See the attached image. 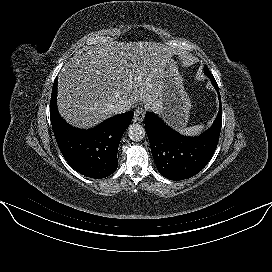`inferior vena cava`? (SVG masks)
<instances>
[{
	"mask_svg": "<svg viewBox=\"0 0 272 272\" xmlns=\"http://www.w3.org/2000/svg\"><path fill=\"white\" fill-rule=\"evenodd\" d=\"M131 109V104L128 102L120 103L113 107L114 113H124Z\"/></svg>",
	"mask_w": 272,
	"mask_h": 272,
	"instance_id": "602c4592",
	"label": "inferior vena cava"
}]
</instances>
